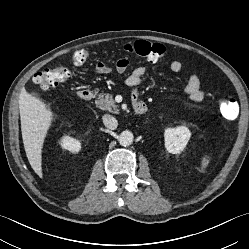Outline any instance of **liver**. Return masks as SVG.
I'll list each match as a JSON object with an SVG mask.
<instances>
[{"instance_id": "1", "label": "liver", "mask_w": 249, "mask_h": 249, "mask_svg": "<svg viewBox=\"0 0 249 249\" xmlns=\"http://www.w3.org/2000/svg\"><path fill=\"white\" fill-rule=\"evenodd\" d=\"M22 139L28 161L42 178V148L53 121V112L38 97L23 90L19 98Z\"/></svg>"}]
</instances>
